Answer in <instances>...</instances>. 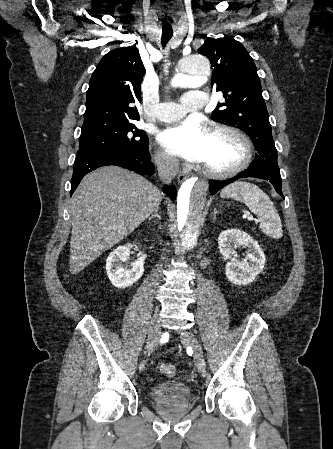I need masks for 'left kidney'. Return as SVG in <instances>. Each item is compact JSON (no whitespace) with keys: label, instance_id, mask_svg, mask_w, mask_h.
I'll return each mask as SVG.
<instances>
[{"label":"left kidney","instance_id":"obj_1","mask_svg":"<svg viewBox=\"0 0 333 449\" xmlns=\"http://www.w3.org/2000/svg\"><path fill=\"white\" fill-rule=\"evenodd\" d=\"M220 253L225 256L228 263L225 267L227 279L234 285H247L254 281L265 264V255L259 244L246 232L239 229H229L221 232L218 237ZM236 246L248 248L246 258H235Z\"/></svg>","mask_w":333,"mask_h":449}]
</instances>
